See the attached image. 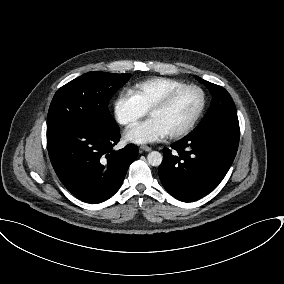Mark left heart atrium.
I'll return each mask as SVG.
<instances>
[{
    "instance_id": "left-heart-atrium-1",
    "label": "left heart atrium",
    "mask_w": 284,
    "mask_h": 284,
    "mask_svg": "<svg viewBox=\"0 0 284 284\" xmlns=\"http://www.w3.org/2000/svg\"><path fill=\"white\" fill-rule=\"evenodd\" d=\"M167 135L168 132L152 117L130 127L126 133L127 139L137 144L159 141Z\"/></svg>"
}]
</instances>
